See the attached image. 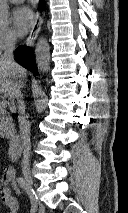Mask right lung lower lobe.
<instances>
[{
  "mask_svg": "<svg viewBox=\"0 0 128 213\" xmlns=\"http://www.w3.org/2000/svg\"><path fill=\"white\" fill-rule=\"evenodd\" d=\"M14 56L18 63L33 72L34 75H37L38 72L36 69V64L34 63V56L32 55L31 48H28L26 46L21 48L20 46L15 50Z\"/></svg>",
  "mask_w": 128,
  "mask_h": 213,
  "instance_id": "obj_1",
  "label": "right lung lower lobe"
}]
</instances>
